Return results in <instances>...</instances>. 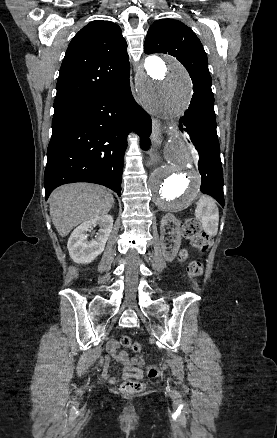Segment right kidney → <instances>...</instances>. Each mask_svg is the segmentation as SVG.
Returning <instances> with one entry per match:
<instances>
[{"instance_id": "1", "label": "right kidney", "mask_w": 277, "mask_h": 438, "mask_svg": "<svg viewBox=\"0 0 277 438\" xmlns=\"http://www.w3.org/2000/svg\"><path fill=\"white\" fill-rule=\"evenodd\" d=\"M113 222L112 216L104 214V216L91 218V220H87V222H83L78 228H75L67 244L69 256L73 262H76V264H90L99 254H102L113 228ZM93 226H99L98 234L93 240H89L87 232H91Z\"/></svg>"}]
</instances>
